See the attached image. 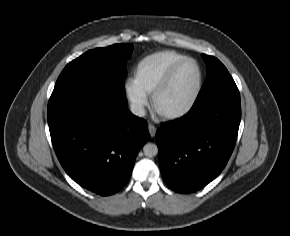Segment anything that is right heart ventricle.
Returning <instances> with one entry per match:
<instances>
[{"label": "right heart ventricle", "instance_id": "right-heart-ventricle-1", "mask_svg": "<svg viewBox=\"0 0 290 236\" xmlns=\"http://www.w3.org/2000/svg\"><path fill=\"white\" fill-rule=\"evenodd\" d=\"M182 58L183 55L174 51L158 52L146 57L137 67L135 83L147 94L152 93L170 68Z\"/></svg>", "mask_w": 290, "mask_h": 236}]
</instances>
